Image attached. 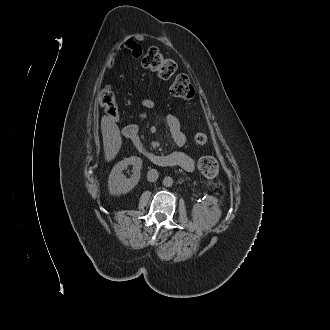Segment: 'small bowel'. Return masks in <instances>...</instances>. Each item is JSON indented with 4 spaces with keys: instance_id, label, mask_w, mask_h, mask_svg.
I'll list each match as a JSON object with an SVG mask.
<instances>
[{
    "instance_id": "obj_1",
    "label": "small bowel",
    "mask_w": 330,
    "mask_h": 330,
    "mask_svg": "<svg viewBox=\"0 0 330 330\" xmlns=\"http://www.w3.org/2000/svg\"><path fill=\"white\" fill-rule=\"evenodd\" d=\"M121 50H128L133 58H138L142 55V47L139 42L135 39L124 40L110 55L107 59L108 68H113L116 63V57L118 52ZM142 105L145 108L151 109L154 107V100L150 97H146L142 100ZM166 123L169 128L170 134L174 143L182 147L186 143V136L182 130L179 119L174 115H168L166 117ZM168 158L171 166L180 167L186 171L194 169V159L189 154L182 151H174L165 155Z\"/></svg>"
}]
</instances>
